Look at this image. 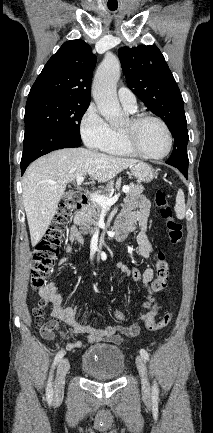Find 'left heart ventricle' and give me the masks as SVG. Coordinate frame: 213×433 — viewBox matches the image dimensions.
<instances>
[{"instance_id":"b2bd125f","label":"left heart ventricle","mask_w":213,"mask_h":433,"mask_svg":"<svg viewBox=\"0 0 213 433\" xmlns=\"http://www.w3.org/2000/svg\"><path fill=\"white\" fill-rule=\"evenodd\" d=\"M129 122L124 126L126 128ZM136 138L140 148L152 155H159L166 151L168 138L163 127L153 120L144 121L137 128Z\"/></svg>"}]
</instances>
